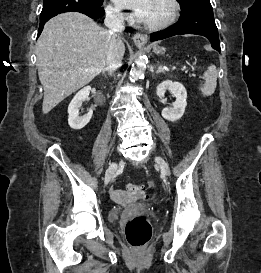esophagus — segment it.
Masks as SVG:
<instances>
[{
    "label": "esophagus",
    "mask_w": 261,
    "mask_h": 273,
    "mask_svg": "<svg viewBox=\"0 0 261 273\" xmlns=\"http://www.w3.org/2000/svg\"><path fill=\"white\" fill-rule=\"evenodd\" d=\"M133 41L138 46L145 45L147 43V36L141 33H136L133 35Z\"/></svg>",
    "instance_id": "esophagus-1"
}]
</instances>
